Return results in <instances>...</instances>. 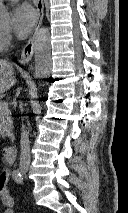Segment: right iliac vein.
<instances>
[{"mask_svg":"<svg viewBox=\"0 0 128 213\" xmlns=\"http://www.w3.org/2000/svg\"><path fill=\"white\" fill-rule=\"evenodd\" d=\"M21 172L26 174L28 172V168L27 167H22L21 168Z\"/></svg>","mask_w":128,"mask_h":213,"instance_id":"obj_1","label":"right iliac vein"}]
</instances>
